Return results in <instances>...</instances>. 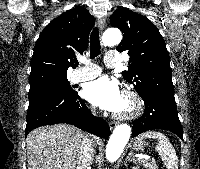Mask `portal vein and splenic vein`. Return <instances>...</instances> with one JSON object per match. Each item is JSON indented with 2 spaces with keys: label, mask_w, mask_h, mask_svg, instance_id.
<instances>
[{
  "label": "portal vein and splenic vein",
  "mask_w": 200,
  "mask_h": 169,
  "mask_svg": "<svg viewBox=\"0 0 200 169\" xmlns=\"http://www.w3.org/2000/svg\"><path fill=\"white\" fill-rule=\"evenodd\" d=\"M138 159H150L149 156L138 155Z\"/></svg>",
  "instance_id": "18ae733b"
}]
</instances>
